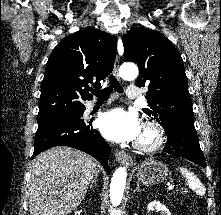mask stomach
Segmentation results:
<instances>
[{"label": "stomach", "instance_id": "stomach-1", "mask_svg": "<svg viewBox=\"0 0 221 215\" xmlns=\"http://www.w3.org/2000/svg\"><path fill=\"white\" fill-rule=\"evenodd\" d=\"M168 169L159 161L149 160L144 162L137 171V179L145 185H155L163 182Z\"/></svg>", "mask_w": 221, "mask_h": 215}]
</instances>
